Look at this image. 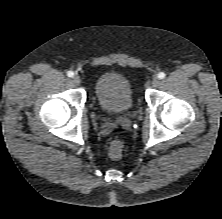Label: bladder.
<instances>
[{
    "instance_id": "1",
    "label": "bladder",
    "mask_w": 222,
    "mask_h": 219,
    "mask_svg": "<svg viewBox=\"0 0 222 219\" xmlns=\"http://www.w3.org/2000/svg\"><path fill=\"white\" fill-rule=\"evenodd\" d=\"M94 93L99 107L107 114L125 115L134 104L128 78L115 71H108L97 78Z\"/></svg>"
}]
</instances>
